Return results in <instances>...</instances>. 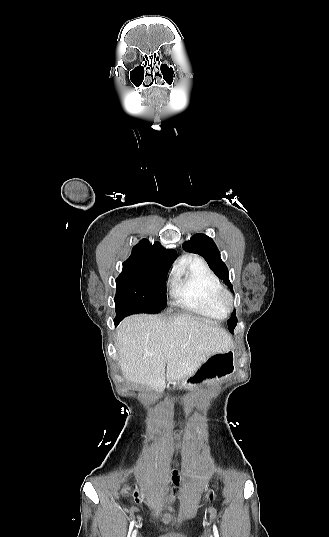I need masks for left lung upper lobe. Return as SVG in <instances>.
I'll return each mask as SVG.
<instances>
[{"mask_svg": "<svg viewBox=\"0 0 329 537\" xmlns=\"http://www.w3.org/2000/svg\"><path fill=\"white\" fill-rule=\"evenodd\" d=\"M183 248L188 252L201 255L213 272L232 290L228 268L221 260L220 252L212 238L205 234H195L189 241L183 243ZM227 324L230 331L233 332L237 325L236 311L233 312Z\"/></svg>", "mask_w": 329, "mask_h": 537, "instance_id": "obj_1", "label": "left lung upper lobe"}]
</instances>
